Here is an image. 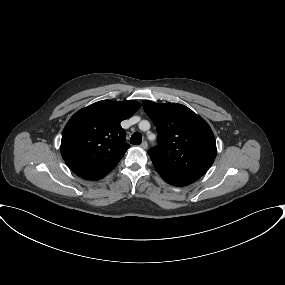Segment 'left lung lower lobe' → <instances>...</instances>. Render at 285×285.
<instances>
[{
    "instance_id": "1",
    "label": "left lung lower lobe",
    "mask_w": 285,
    "mask_h": 285,
    "mask_svg": "<svg viewBox=\"0 0 285 285\" xmlns=\"http://www.w3.org/2000/svg\"><path fill=\"white\" fill-rule=\"evenodd\" d=\"M153 165L159 175L168 183L174 186H186L200 178V176L190 174L177 169L165 168L162 165L153 162Z\"/></svg>"
}]
</instances>
